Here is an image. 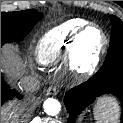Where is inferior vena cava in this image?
I'll use <instances>...</instances> for the list:
<instances>
[{"instance_id":"602c4592","label":"inferior vena cava","mask_w":123,"mask_h":123,"mask_svg":"<svg viewBox=\"0 0 123 123\" xmlns=\"http://www.w3.org/2000/svg\"><path fill=\"white\" fill-rule=\"evenodd\" d=\"M20 86L24 91L32 93L40 88V81L36 76H26L21 80Z\"/></svg>"}]
</instances>
